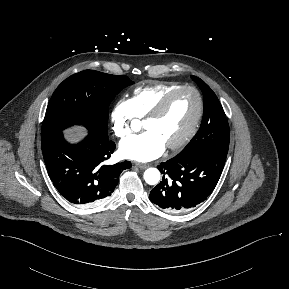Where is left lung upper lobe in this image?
Here are the masks:
<instances>
[{
  "mask_svg": "<svg viewBox=\"0 0 289 289\" xmlns=\"http://www.w3.org/2000/svg\"><path fill=\"white\" fill-rule=\"evenodd\" d=\"M203 92L204 115L200 129L176 159L186 158L203 150L228 151L230 131L225 112L210 87L200 78L191 76Z\"/></svg>",
  "mask_w": 289,
  "mask_h": 289,
  "instance_id": "left-lung-upper-lobe-1",
  "label": "left lung upper lobe"
}]
</instances>
